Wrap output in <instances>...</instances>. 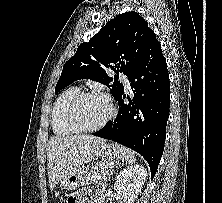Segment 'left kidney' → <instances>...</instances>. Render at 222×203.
I'll return each instance as SVG.
<instances>
[{
    "label": "left kidney",
    "mask_w": 222,
    "mask_h": 203,
    "mask_svg": "<svg viewBox=\"0 0 222 203\" xmlns=\"http://www.w3.org/2000/svg\"><path fill=\"white\" fill-rule=\"evenodd\" d=\"M147 170L141 165H132L123 169L116 177L114 190L124 203H134L146 180Z\"/></svg>",
    "instance_id": "5707ae66"
}]
</instances>
